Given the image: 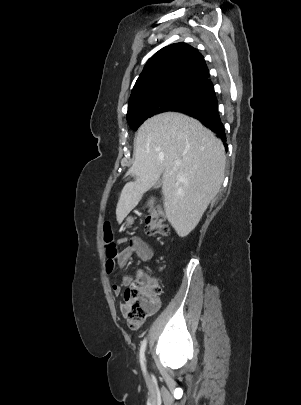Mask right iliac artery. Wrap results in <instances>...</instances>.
Segmentation results:
<instances>
[{"label":"right iliac artery","instance_id":"1","mask_svg":"<svg viewBox=\"0 0 301 405\" xmlns=\"http://www.w3.org/2000/svg\"><path fill=\"white\" fill-rule=\"evenodd\" d=\"M146 344H147V340L146 338H144V340L141 342V347H140V363H141V367L142 370L145 372V349H146Z\"/></svg>","mask_w":301,"mask_h":405}]
</instances>
